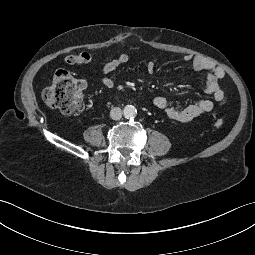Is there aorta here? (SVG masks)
<instances>
[{"label": "aorta", "mask_w": 255, "mask_h": 255, "mask_svg": "<svg viewBox=\"0 0 255 255\" xmlns=\"http://www.w3.org/2000/svg\"><path fill=\"white\" fill-rule=\"evenodd\" d=\"M123 114L125 118H134L137 115V109L133 105H126Z\"/></svg>", "instance_id": "762f6f07"}]
</instances>
